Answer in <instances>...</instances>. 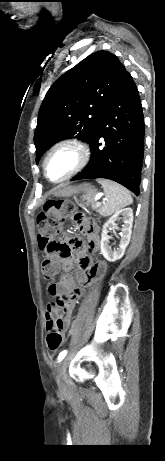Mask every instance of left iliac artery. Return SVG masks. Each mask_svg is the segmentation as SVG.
<instances>
[{
  "label": "left iliac artery",
  "mask_w": 165,
  "mask_h": 461,
  "mask_svg": "<svg viewBox=\"0 0 165 461\" xmlns=\"http://www.w3.org/2000/svg\"><path fill=\"white\" fill-rule=\"evenodd\" d=\"M66 354H67L66 350L62 351L58 356L59 361H61L66 356Z\"/></svg>",
  "instance_id": "44dca946"
}]
</instances>
